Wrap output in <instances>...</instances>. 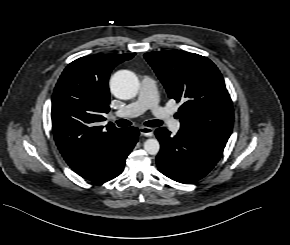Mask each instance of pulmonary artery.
<instances>
[{
  "label": "pulmonary artery",
  "mask_w": 290,
  "mask_h": 245,
  "mask_svg": "<svg viewBox=\"0 0 290 245\" xmlns=\"http://www.w3.org/2000/svg\"><path fill=\"white\" fill-rule=\"evenodd\" d=\"M148 109L158 120L167 124L173 132L179 131L180 123L173 118L172 112L159 105L156 82L149 76L142 77L137 98L115 111L113 116L118 118L135 117Z\"/></svg>",
  "instance_id": "pulmonary-artery-1"
}]
</instances>
